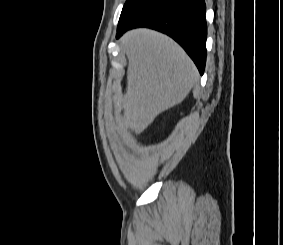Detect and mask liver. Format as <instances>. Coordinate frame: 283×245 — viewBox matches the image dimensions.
<instances>
[{"instance_id":"liver-1","label":"liver","mask_w":283,"mask_h":245,"mask_svg":"<svg viewBox=\"0 0 283 245\" xmlns=\"http://www.w3.org/2000/svg\"><path fill=\"white\" fill-rule=\"evenodd\" d=\"M122 47L129 64L121 101V130L143 132L165 110L180 104L199 79L193 61L168 36L150 29L127 32Z\"/></svg>"}]
</instances>
